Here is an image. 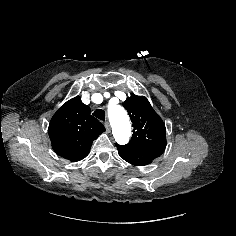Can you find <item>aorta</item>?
<instances>
[{
    "label": "aorta",
    "mask_w": 236,
    "mask_h": 236,
    "mask_svg": "<svg viewBox=\"0 0 236 236\" xmlns=\"http://www.w3.org/2000/svg\"><path fill=\"white\" fill-rule=\"evenodd\" d=\"M113 135L119 144H126L131 136V124L127 112L119 105L108 107Z\"/></svg>",
    "instance_id": "762f6f07"
}]
</instances>
